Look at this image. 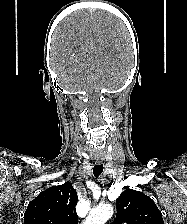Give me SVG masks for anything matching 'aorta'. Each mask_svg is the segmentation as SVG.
Instances as JSON below:
<instances>
[{
	"label": "aorta",
	"instance_id": "762f6f07",
	"mask_svg": "<svg viewBox=\"0 0 187 224\" xmlns=\"http://www.w3.org/2000/svg\"><path fill=\"white\" fill-rule=\"evenodd\" d=\"M113 215L111 204L100 205L90 211L84 224H105Z\"/></svg>",
	"mask_w": 187,
	"mask_h": 224
}]
</instances>
